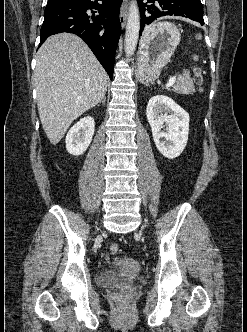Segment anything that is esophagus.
Segmentation results:
<instances>
[{"label":"esophagus","mask_w":247,"mask_h":332,"mask_svg":"<svg viewBox=\"0 0 247 332\" xmlns=\"http://www.w3.org/2000/svg\"><path fill=\"white\" fill-rule=\"evenodd\" d=\"M128 6H129V0H123L120 11V24L122 28H124L126 24L127 15H128Z\"/></svg>","instance_id":"obj_1"}]
</instances>
